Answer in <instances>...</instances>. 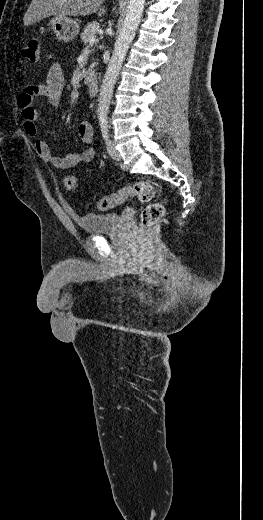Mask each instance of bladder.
<instances>
[{"instance_id": "bladder-1", "label": "bladder", "mask_w": 263, "mask_h": 520, "mask_svg": "<svg viewBox=\"0 0 263 520\" xmlns=\"http://www.w3.org/2000/svg\"><path fill=\"white\" fill-rule=\"evenodd\" d=\"M73 220L81 231L89 235L118 233L126 225L125 218L117 213L73 215Z\"/></svg>"}]
</instances>
